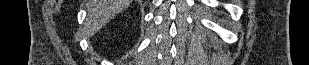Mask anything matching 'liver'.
<instances>
[{
	"instance_id": "1",
	"label": "liver",
	"mask_w": 309,
	"mask_h": 65,
	"mask_svg": "<svg viewBox=\"0 0 309 65\" xmlns=\"http://www.w3.org/2000/svg\"><path fill=\"white\" fill-rule=\"evenodd\" d=\"M130 3L131 0H88V18L84 25L87 35L93 36Z\"/></svg>"
}]
</instances>
